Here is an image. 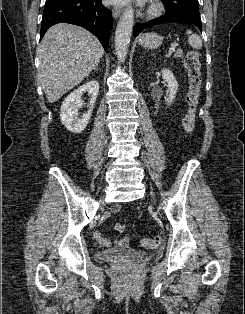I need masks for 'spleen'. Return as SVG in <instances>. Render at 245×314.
Wrapping results in <instances>:
<instances>
[{"instance_id":"spleen-1","label":"spleen","mask_w":245,"mask_h":314,"mask_svg":"<svg viewBox=\"0 0 245 314\" xmlns=\"http://www.w3.org/2000/svg\"><path fill=\"white\" fill-rule=\"evenodd\" d=\"M189 35L188 43L194 49H201L202 47V40L199 35L192 33L191 30L186 32Z\"/></svg>"}]
</instances>
